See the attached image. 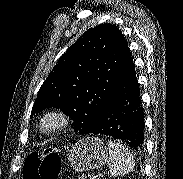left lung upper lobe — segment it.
<instances>
[{
    "label": "left lung upper lobe",
    "mask_w": 183,
    "mask_h": 179,
    "mask_svg": "<svg viewBox=\"0 0 183 179\" xmlns=\"http://www.w3.org/2000/svg\"><path fill=\"white\" fill-rule=\"evenodd\" d=\"M126 47L115 25L87 30L57 61L38 91L31 116L56 107L74 121L76 133L89 134L111 101Z\"/></svg>",
    "instance_id": "5c2ea615"
}]
</instances>
